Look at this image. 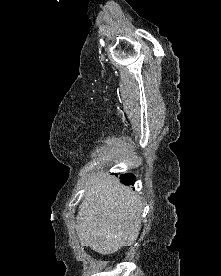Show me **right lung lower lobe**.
I'll use <instances>...</instances> for the list:
<instances>
[{
    "instance_id": "right-lung-lower-lobe-1",
    "label": "right lung lower lobe",
    "mask_w": 221,
    "mask_h": 276,
    "mask_svg": "<svg viewBox=\"0 0 221 276\" xmlns=\"http://www.w3.org/2000/svg\"><path fill=\"white\" fill-rule=\"evenodd\" d=\"M121 182L125 185H133L135 182V176L133 174L121 175Z\"/></svg>"
}]
</instances>
